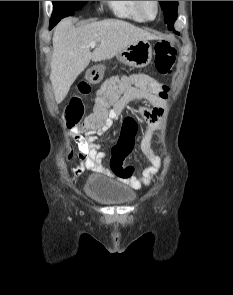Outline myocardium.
Instances as JSON below:
<instances>
[{
	"instance_id": "f54148a6",
	"label": "myocardium",
	"mask_w": 233,
	"mask_h": 295,
	"mask_svg": "<svg viewBox=\"0 0 233 295\" xmlns=\"http://www.w3.org/2000/svg\"><path fill=\"white\" fill-rule=\"evenodd\" d=\"M154 3H155V6H156V14H155L154 17L150 18V17L146 16V14L143 11L142 1H135L136 9L139 12V14L143 17L144 20H146V21H153L159 15V12H160V2L159 1H154Z\"/></svg>"
}]
</instances>
